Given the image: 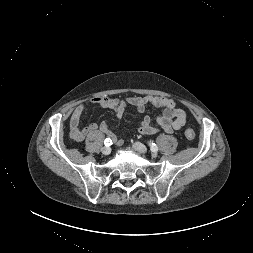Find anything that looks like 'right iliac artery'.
<instances>
[{
  "mask_svg": "<svg viewBox=\"0 0 253 253\" xmlns=\"http://www.w3.org/2000/svg\"><path fill=\"white\" fill-rule=\"evenodd\" d=\"M104 144L106 146H110L112 144V140L110 138H106L105 141H104Z\"/></svg>",
  "mask_w": 253,
  "mask_h": 253,
  "instance_id": "right-iliac-artery-1",
  "label": "right iliac artery"
}]
</instances>
